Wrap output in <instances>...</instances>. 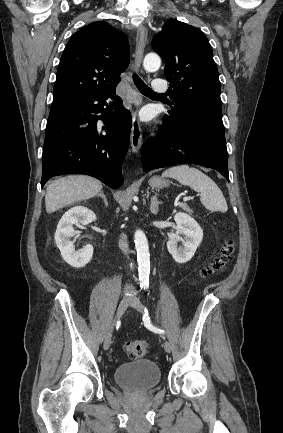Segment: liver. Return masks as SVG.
<instances>
[{"mask_svg":"<svg viewBox=\"0 0 283 433\" xmlns=\"http://www.w3.org/2000/svg\"><path fill=\"white\" fill-rule=\"evenodd\" d=\"M101 188L102 182L100 180H96L92 176H84V174H72V176L57 178L47 186L46 210L47 212H54V210L63 208L67 204L92 198L100 192Z\"/></svg>","mask_w":283,"mask_h":433,"instance_id":"6515ba94","label":"liver"}]
</instances>
